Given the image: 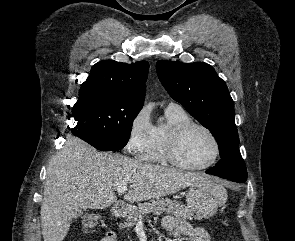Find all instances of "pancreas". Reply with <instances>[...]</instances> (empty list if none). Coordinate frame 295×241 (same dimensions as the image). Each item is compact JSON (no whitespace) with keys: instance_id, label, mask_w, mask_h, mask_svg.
Masks as SVG:
<instances>
[{"instance_id":"1","label":"pancreas","mask_w":295,"mask_h":241,"mask_svg":"<svg viewBox=\"0 0 295 241\" xmlns=\"http://www.w3.org/2000/svg\"><path fill=\"white\" fill-rule=\"evenodd\" d=\"M163 212L173 214L177 218H182L184 220H192L195 218L194 213L180 202L172 201L170 199H156L139 204L137 207L132 206L129 209L126 221L120 227L130 228L136 225L143 216L149 213L161 215Z\"/></svg>"}]
</instances>
